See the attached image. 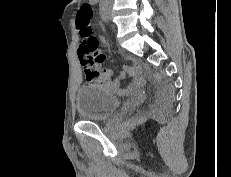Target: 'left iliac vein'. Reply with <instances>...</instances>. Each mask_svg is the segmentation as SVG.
<instances>
[{"mask_svg":"<svg viewBox=\"0 0 231 177\" xmlns=\"http://www.w3.org/2000/svg\"><path fill=\"white\" fill-rule=\"evenodd\" d=\"M108 18H111V13H110V9L108 10Z\"/></svg>","mask_w":231,"mask_h":177,"instance_id":"obj_1","label":"left iliac vein"}]
</instances>
